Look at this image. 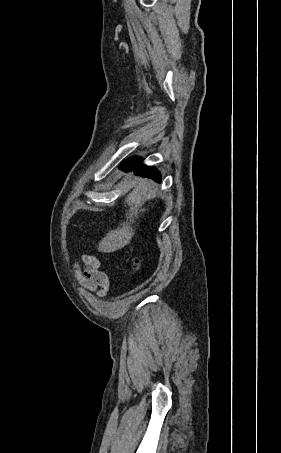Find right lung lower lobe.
<instances>
[{
  "label": "right lung lower lobe",
  "instance_id": "1",
  "mask_svg": "<svg viewBox=\"0 0 281 453\" xmlns=\"http://www.w3.org/2000/svg\"><path fill=\"white\" fill-rule=\"evenodd\" d=\"M119 168L123 171H132L136 175H140L142 177H148L154 179L157 182H160L161 176L157 170L153 167L145 166L142 164L141 159L137 157L130 158L124 161Z\"/></svg>",
  "mask_w": 281,
  "mask_h": 453
}]
</instances>
